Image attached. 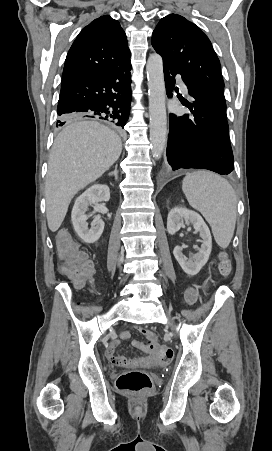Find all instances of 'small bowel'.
I'll return each mask as SVG.
<instances>
[{
  "mask_svg": "<svg viewBox=\"0 0 272 451\" xmlns=\"http://www.w3.org/2000/svg\"><path fill=\"white\" fill-rule=\"evenodd\" d=\"M197 298H198V295H197V292H196V290H194V289H189L187 292H186V294H185V302L187 303V304H194L196 301H197ZM141 332H142V334H144L145 335V337L147 338V340H148V337L150 336V335H153L151 332H149L148 330H145V329H141L140 330ZM154 336V335H153ZM131 337V334L129 333V332H123L122 333V338H124V339H128V338H130ZM132 344H133V346L135 347V348H137V349H141V348H145L146 349V344L145 343H143V342H141V341H137V340H134L133 342H132ZM120 346V342L118 341V340H110L109 342H108V344H107V346H106V351H105V354H106V357L108 358V353L109 352H116V350H117V348ZM119 367V366H118Z\"/></svg>",
  "mask_w": 272,
  "mask_h": 451,
  "instance_id": "small-bowel-1",
  "label": "small bowel"
}]
</instances>
